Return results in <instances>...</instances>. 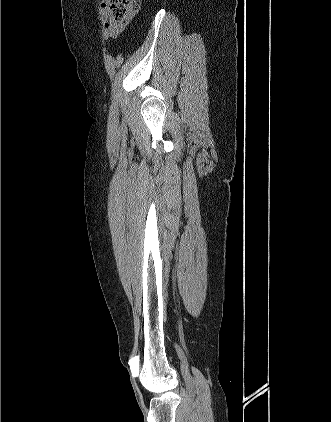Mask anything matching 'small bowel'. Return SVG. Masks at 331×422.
I'll list each match as a JSON object with an SVG mask.
<instances>
[{"label":"small bowel","mask_w":331,"mask_h":422,"mask_svg":"<svg viewBox=\"0 0 331 422\" xmlns=\"http://www.w3.org/2000/svg\"><path fill=\"white\" fill-rule=\"evenodd\" d=\"M101 14L104 20L105 37L118 38L125 32V25L114 22L109 13L107 0H102Z\"/></svg>","instance_id":"1"}]
</instances>
